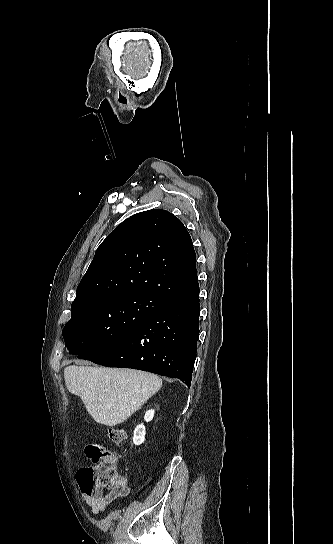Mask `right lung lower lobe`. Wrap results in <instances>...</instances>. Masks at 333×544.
I'll list each match as a JSON object with an SVG mask.
<instances>
[{
  "label": "right lung lower lobe",
  "mask_w": 333,
  "mask_h": 544,
  "mask_svg": "<svg viewBox=\"0 0 333 544\" xmlns=\"http://www.w3.org/2000/svg\"><path fill=\"white\" fill-rule=\"evenodd\" d=\"M199 285L167 299L134 331L82 359L179 378L190 387L199 336Z\"/></svg>",
  "instance_id": "right-lung-lower-lobe-1"
}]
</instances>
